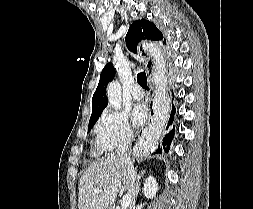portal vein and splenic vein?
I'll return each mask as SVG.
<instances>
[{
    "label": "portal vein and splenic vein",
    "mask_w": 253,
    "mask_h": 209,
    "mask_svg": "<svg viewBox=\"0 0 253 209\" xmlns=\"http://www.w3.org/2000/svg\"><path fill=\"white\" fill-rule=\"evenodd\" d=\"M130 204H131V196L129 194L124 195L121 200V208L127 209L130 206Z\"/></svg>",
    "instance_id": "portal-vein-and-splenic-vein-1"
}]
</instances>
